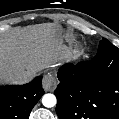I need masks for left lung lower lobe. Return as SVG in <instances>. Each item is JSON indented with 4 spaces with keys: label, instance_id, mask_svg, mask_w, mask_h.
Listing matches in <instances>:
<instances>
[{
    "label": "left lung lower lobe",
    "instance_id": "1",
    "mask_svg": "<svg viewBox=\"0 0 119 119\" xmlns=\"http://www.w3.org/2000/svg\"><path fill=\"white\" fill-rule=\"evenodd\" d=\"M59 119H119V48L103 38L93 60L60 67Z\"/></svg>",
    "mask_w": 119,
    "mask_h": 119
}]
</instances>
